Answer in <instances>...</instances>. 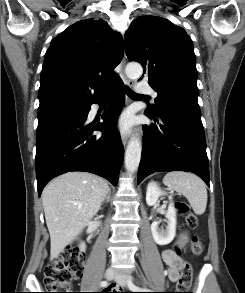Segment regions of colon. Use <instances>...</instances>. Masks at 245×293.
<instances>
[{
	"label": "colon",
	"mask_w": 245,
	"mask_h": 293,
	"mask_svg": "<svg viewBox=\"0 0 245 293\" xmlns=\"http://www.w3.org/2000/svg\"><path fill=\"white\" fill-rule=\"evenodd\" d=\"M176 208L181 215L185 216L186 224L195 228L198 218L195 214L189 212V206L185 202H177ZM203 250V244L200 238L193 237L191 240L190 251L193 255H200ZM177 253H181L178 248ZM84 255L79 250L68 247L62 251L60 256L49 261L44 266V283L49 293H75L71 291V282L77 279L83 269ZM192 268L186 264L180 271L178 281L179 287H186L192 281Z\"/></svg>",
	"instance_id": "colon-1"
}]
</instances>
